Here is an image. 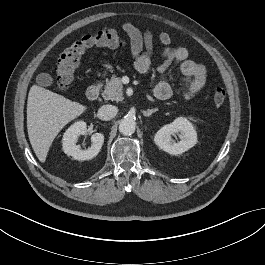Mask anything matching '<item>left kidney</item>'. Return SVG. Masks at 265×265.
Masks as SVG:
<instances>
[{
	"label": "left kidney",
	"instance_id": "5707ae66",
	"mask_svg": "<svg viewBox=\"0 0 265 265\" xmlns=\"http://www.w3.org/2000/svg\"><path fill=\"white\" fill-rule=\"evenodd\" d=\"M178 134L180 141L174 142L171 135ZM156 145L165 152L178 155L192 148L197 143V132L192 123L184 117L176 118L164 125L154 136Z\"/></svg>",
	"mask_w": 265,
	"mask_h": 265
}]
</instances>
